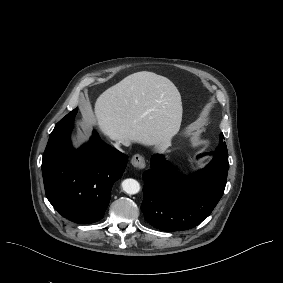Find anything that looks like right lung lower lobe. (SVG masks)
<instances>
[{
    "label": "right lung lower lobe",
    "instance_id": "98d812e1",
    "mask_svg": "<svg viewBox=\"0 0 283 283\" xmlns=\"http://www.w3.org/2000/svg\"><path fill=\"white\" fill-rule=\"evenodd\" d=\"M78 108L60 120L43 154L46 196L65 218L88 224L103 218L113 183L126 167L128 156L100 139L96 132L86 145L74 149L70 134Z\"/></svg>",
    "mask_w": 283,
    "mask_h": 283
}]
</instances>
